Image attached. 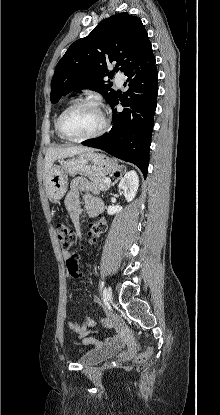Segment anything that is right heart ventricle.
Segmentation results:
<instances>
[{
    "mask_svg": "<svg viewBox=\"0 0 220 415\" xmlns=\"http://www.w3.org/2000/svg\"><path fill=\"white\" fill-rule=\"evenodd\" d=\"M74 99L73 98H71V99H68L67 101H66V103H65V105H64V107L62 108V110H61V112L59 113V115H58V117L56 118V120H55V124H54V128H55V131H56V133H57V129H56V126H57V122H58V119H59V116L61 115V113L67 108V107H69L71 104H73L74 103ZM57 135H58V133H57ZM59 136V135H58ZM60 137V136H59ZM61 138V137H60Z\"/></svg>",
    "mask_w": 220,
    "mask_h": 415,
    "instance_id": "right-heart-ventricle-1",
    "label": "right heart ventricle"
}]
</instances>
